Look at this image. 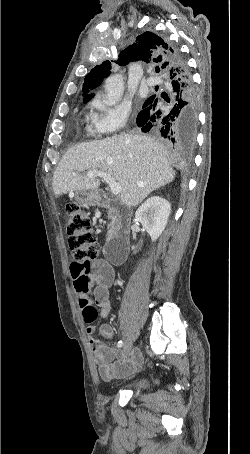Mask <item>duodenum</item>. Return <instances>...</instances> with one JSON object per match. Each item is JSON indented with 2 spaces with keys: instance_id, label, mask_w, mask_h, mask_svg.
Returning a JSON list of instances; mask_svg holds the SVG:
<instances>
[{
  "instance_id": "410a0bca",
  "label": "duodenum",
  "mask_w": 250,
  "mask_h": 454,
  "mask_svg": "<svg viewBox=\"0 0 250 454\" xmlns=\"http://www.w3.org/2000/svg\"><path fill=\"white\" fill-rule=\"evenodd\" d=\"M97 203L100 207L110 209L114 222L110 239L105 247V256L112 264L121 265L127 256L131 214L128 209L114 204L112 199L104 194L99 195Z\"/></svg>"
}]
</instances>
